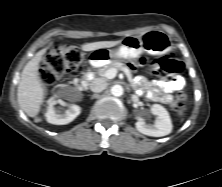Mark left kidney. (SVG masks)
I'll list each match as a JSON object with an SVG mask.
<instances>
[{
	"mask_svg": "<svg viewBox=\"0 0 222 187\" xmlns=\"http://www.w3.org/2000/svg\"><path fill=\"white\" fill-rule=\"evenodd\" d=\"M153 115H156L154 124H147L144 119H139L136 122V128L142 134L162 137L171 133L172 122L168 111L159 104H153L150 109Z\"/></svg>",
	"mask_w": 222,
	"mask_h": 187,
	"instance_id": "obj_1",
	"label": "left kidney"
}]
</instances>
